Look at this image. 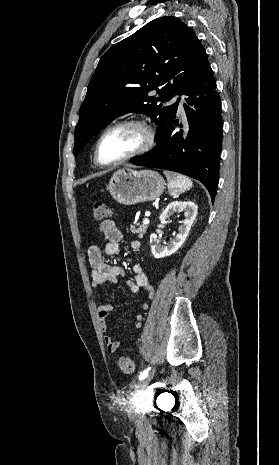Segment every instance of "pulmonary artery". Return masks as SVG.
Returning <instances> with one entry per match:
<instances>
[{
  "label": "pulmonary artery",
  "instance_id": "pulmonary-artery-1",
  "mask_svg": "<svg viewBox=\"0 0 279 465\" xmlns=\"http://www.w3.org/2000/svg\"><path fill=\"white\" fill-rule=\"evenodd\" d=\"M178 100V109L181 113H183L184 109H183V101L182 100H179L178 97H175L173 99V101H177Z\"/></svg>",
  "mask_w": 279,
  "mask_h": 465
}]
</instances>
